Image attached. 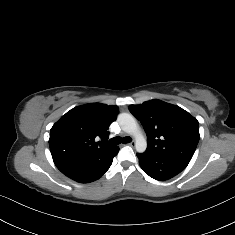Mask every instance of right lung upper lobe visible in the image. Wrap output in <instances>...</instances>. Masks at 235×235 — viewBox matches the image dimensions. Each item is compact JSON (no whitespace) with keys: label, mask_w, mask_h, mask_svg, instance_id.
I'll return each instance as SVG.
<instances>
[{"label":"right lung upper lobe","mask_w":235,"mask_h":235,"mask_svg":"<svg viewBox=\"0 0 235 235\" xmlns=\"http://www.w3.org/2000/svg\"><path fill=\"white\" fill-rule=\"evenodd\" d=\"M118 106L91 103L75 107L51 128L49 146L52 157L102 156L118 146L102 144L109 137L108 128L116 120Z\"/></svg>","instance_id":"right-lung-upper-lobe-1"}]
</instances>
